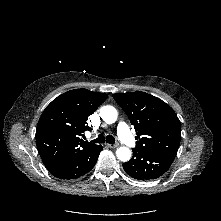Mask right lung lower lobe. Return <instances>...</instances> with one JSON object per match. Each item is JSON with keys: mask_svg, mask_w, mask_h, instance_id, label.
Masks as SVG:
<instances>
[{"mask_svg": "<svg viewBox=\"0 0 221 221\" xmlns=\"http://www.w3.org/2000/svg\"><path fill=\"white\" fill-rule=\"evenodd\" d=\"M102 149L103 147L101 145L90 147L63 159L48 170L53 176L59 179L72 180L79 178L94 167Z\"/></svg>", "mask_w": 221, "mask_h": 221, "instance_id": "right-lung-lower-lobe-1", "label": "right lung lower lobe"}]
</instances>
